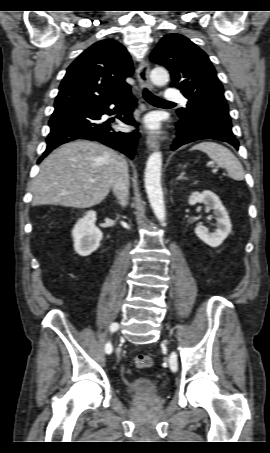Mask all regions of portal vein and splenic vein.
I'll return each mask as SVG.
<instances>
[{
	"instance_id": "portal-vein-and-splenic-vein-1",
	"label": "portal vein and splenic vein",
	"mask_w": 270,
	"mask_h": 453,
	"mask_svg": "<svg viewBox=\"0 0 270 453\" xmlns=\"http://www.w3.org/2000/svg\"><path fill=\"white\" fill-rule=\"evenodd\" d=\"M216 171H217V169H216V168H215V169H213V172H214V173H215ZM90 181H92V180H90Z\"/></svg>"
}]
</instances>
